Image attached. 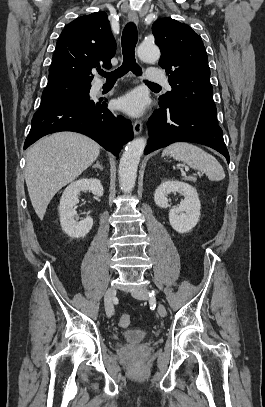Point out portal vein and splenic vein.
Masks as SVG:
<instances>
[{
  "label": "portal vein and splenic vein",
  "mask_w": 265,
  "mask_h": 407,
  "mask_svg": "<svg viewBox=\"0 0 265 407\" xmlns=\"http://www.w3.org/2000/svg\"><path fill=\"white\" fill-rule=\"evenodd\" d=\"M185 171H188V168H187V167H185Z\"/></svg>",
  "instance_id": "18ae733b"
}]
</instances>
